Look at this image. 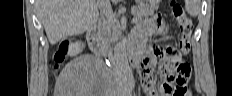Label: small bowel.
<instances>
[{
	"instance_id": "c3829d8e",
	"label": "small bowel",
	"mask_w": 232,
	"mask_h": 96,
	"mask_svg": "<svg viewBox=\"0 0 232 96\" xmlns=\"http://www.w3.org/2000/svg\"><path fill=\"white\" fill-rule=\"evenodd\" d=\"M150 14V19L143 22L136 30H128V35H133L132 38H129V43H133L135 46L143 43H157V38L148 37L162 32L159 34V39H166V35H175V32H178L179 25H174V22L164 19L165 11H156V13L152 11ZM161 58L169 60L160 49H154L142 56L140 80L145 96H174L173 88L166 81L161 84L158 92L153 89L152 71Z\"/></svg>"
}]
</instances>
